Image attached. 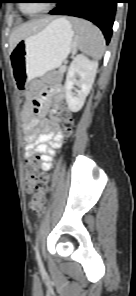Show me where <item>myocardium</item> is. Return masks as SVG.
Returning a JSON list of instances; mask_svg holds the SVG:
<instances>
[{
    "mask_svg": "<svg viewBox=\"0 0 136 296\" xmlns=\"http://www.w3.org/2000/svg\"><path fill=\"white\" fill-rule=\"evenodd\" d=\"M21 9H22L26 14H29V15L34 16V15H36V14H38V13H41V12H44V11L48 10L49 8H45V9H43V10H39V11H36V12H32V11H30V10L27 8V6H26L25 3H22V4H21Z\"/></svg>",
    "mask_w": 136,
    "mask_h": 296,
    "instance_id": "obj_1",
    "label": "myocardium"
}]
</instances>
